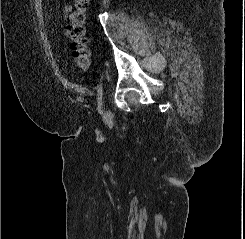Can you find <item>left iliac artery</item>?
<instances>
[{
    "mask_svg": "<svg viewBox=\"0 0 245 239\" xmlns=\"http://www.w3.org/2000/svg\"><path fill=\"white\" fill-rule=\"evenodd\" d=\"M97 91H98V94H97V100H98V108H101L102 106V94H103V86H102V83H100L98 86H97Z\"/></svg>",
    "mask_w": 245,
    "mask_h": 239,
    "instance_id": "1",
    "label": "left iliac artery"
}]
</instances>
